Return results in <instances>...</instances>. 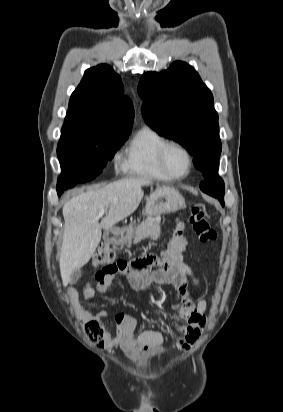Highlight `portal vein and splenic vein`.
<instances>
[{"label": "portal vein and splenic vein", "mask_w": 283, "mask_h": 412, "mask_svg": "<svg viewBox=\"0 0 283 412\" xmlns=\"http://www.w3.org/2000/svg\"><path fill=\"white\" fill-rule=\"evenodd\" d=\"M106 213V209H102L99 211L98 217H102Z\"/></svg>", "instance_id": "portal-vein-and-splenic-vein-1"}]
</instances>
